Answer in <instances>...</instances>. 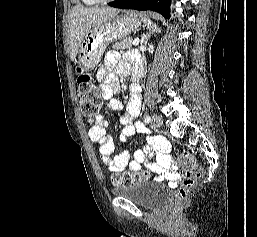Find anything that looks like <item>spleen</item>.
<instances>
[{
	"label": "spleen",
	"instance_id": "spleen-1",
	"mask_svg": "<svg viewBox=\"0 0 257 237\" xmlns=\"http://www.w3.org/2000/svg\"><path fill=\"white\" fill-rule=\"evenodd\" d=\"M142 21L145 23V25L147 26L148 29L153 27L152 22L150 21V19L147 18H142Z\"/></svg>",
	"mask_w": 257,
	"mask_h": 237
}]
</instances>
